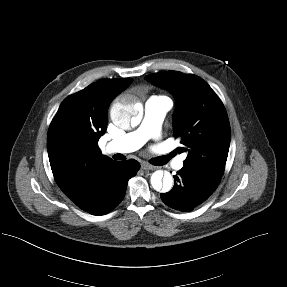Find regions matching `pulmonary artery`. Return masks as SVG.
<instances>
[{
  "label": "pulmonary artery",
  "instance_id": "e3ab8cb5",
  "mask_svg": "<svg viewBox=\"0 0 287 287\" xmlns=\"http://www.w3.org/2000/svg\"><path fill=\"white\" fill-rule=\"evenodd\" d=\"M172 102L166 96H152L145 103L144 117L140 126L112 141L105 146L107 153H127L141 148L149 139L160 136L161 124ZM185 155L177 159L176 169L183 167Z\"/></svg>",
  "mask_w": 287,
  "mask_h": 287
}]
</instances>
